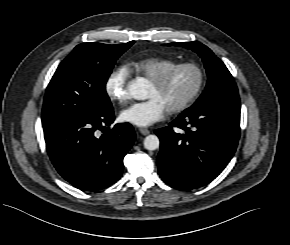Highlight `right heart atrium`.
<instances>
[{
    "label": "right heart atrium",
    "mask_w": 290,
    "mask_h": 245,
    "mask_svg": "<svg viewBox=\"0 0 290 245\" xmlns=\"http://www.w3.org/2000/svg\"><path fill=\"white\" fill-rule=\"evenodd\" d=\"M128 79L129 71L126 67L120 66L110 73L105 84L109 98L120 105H125L130 100L127 88Z\"/></svg>",
    "instance_id": "d8ad5b80"
}]
</instances>
